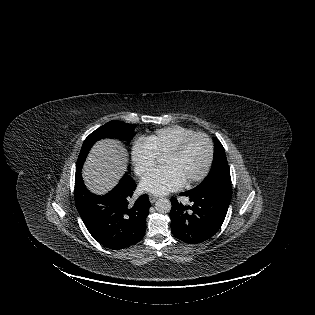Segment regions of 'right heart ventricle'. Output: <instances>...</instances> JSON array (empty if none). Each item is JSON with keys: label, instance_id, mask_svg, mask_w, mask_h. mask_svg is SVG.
Returning <instances> with one entry per match:
<instances>
[{"label": "right heart ventricle", "instance_id": "e07e8e85", "mask_svg": "<svg viewBox=\"0 0 315 315\" xmlns=\"http://www.w3.org/2000/svg\"><path fill=\"white\" fill-rule=\"evenodd\" d=\"M193 133H195V131L190 128L181 125H171L156 130L145 139L150 144L155 154L161 156L165 155L166 152H168L180 140Z\"/></svg>", "mask_w": 315, "mask_h": 315}]
</instances>
